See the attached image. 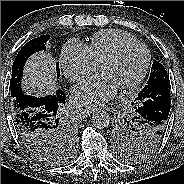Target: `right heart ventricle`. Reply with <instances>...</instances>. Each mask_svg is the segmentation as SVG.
Returning <instances> with one entry per match:
<instances>
[{"label":"right heart ventricle","mask_w":184,"mask_h":184,"mask_svg":"<svg viewBox=\"0 0 184 184\" xmlns=\"http://www.w3.org/2000/svg\"><path fill=\"white\" fill-rule=\"evenodd\" d=\"M135 40L132 35L126 32L109 29L95 33L87 46L93 61L98 64L119 45Z\"/></svg>","instance_id":"right-heart-ventricle-1"}]
</instances>
